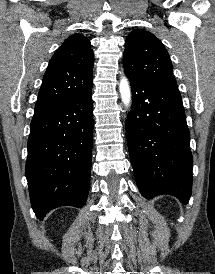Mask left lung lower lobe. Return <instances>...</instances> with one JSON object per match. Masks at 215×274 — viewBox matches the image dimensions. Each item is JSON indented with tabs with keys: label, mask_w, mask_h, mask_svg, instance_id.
I'll return each mask as SVG.
<instances>
[{
	"label": "left lung lower lobe",
	"mask_w": 215,
	"mask_h": 274,
	"mask_svg": "<svg viewBox=\"0 0 215 274\" xmlns=\"http://www.w3.org/2000/svg\"><path fill=\"white\" fill-rule=\"evenodd\" d=\"M126 75L133 99L126 133L140 193L145 198L169 194L186 204L193 158L180 93Z\"/></svg>",
	"instance_id": "1"
}]
</instances>
